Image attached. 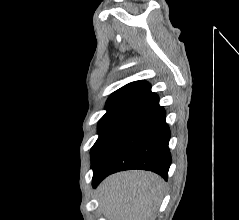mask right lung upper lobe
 Segmentation results:
<instances>
[{"label":"right lung upper lobe","instance_id":"1","mask_svg":"<svg viewBox=\"0 0 239 220\" xmlns=\"http://www.w3.org/2000/svg\"><path fill=\"white\" fill-rule=\"evenodd\" d=\"M151 92L148 82L140 80L131 82L115 91L107 100L106 109L113 110L122 107H132Z\"/></svg>","mask_w":239,"mask_h":220}]
</instances>
